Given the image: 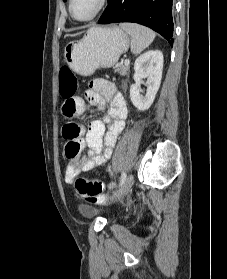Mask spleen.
Here are the masks:
<instances>
[{"label": "spleen", "instance_id": "spleen-1", "mask_svg": "<svg viewBox=\"0 0 227 279\" xmlns=\"http://www.w3.org/2000/svg\"><path fill=\"white\" fill-rule=\"evenodd\" d=\"M119 26L131 36V52L134 54H140L156 36L151 29L138 24L121 23Z\"/></svg>", "mask_w": 227, "mask_h": 279}]
</instances>
